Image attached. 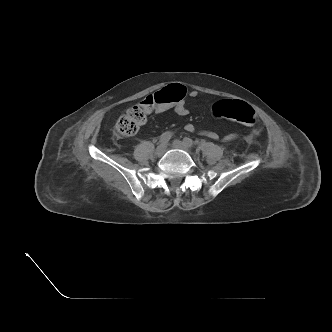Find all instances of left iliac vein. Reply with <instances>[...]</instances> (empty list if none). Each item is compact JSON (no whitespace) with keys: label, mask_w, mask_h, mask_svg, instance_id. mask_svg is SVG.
<instances>
[{"label":"left iliac vein","mask_w":332,"mask_h":332,"mask_svg":"<svg viewBox=\"0 0 332 332\" xmlns=\"http://www.w3.org/2000/svg\"><path fill=\"white\" fill-rule=\"evenodd\" d=\"M172 145L176 149H181V150H184V151H187V152L190 151V146H188L187 144H185L184 142H182L180 140H177V139L174 140L172 142Z\"/></svg>","instance_id":"left-iliac-vein-1"}]
</instances>
